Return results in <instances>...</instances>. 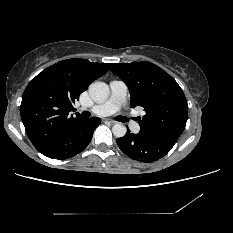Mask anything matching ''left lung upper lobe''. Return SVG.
Returning a JSON list of instances; mask_svg holds the SVG:
<instances>
[{"label": "left lung upper lobe", "instance_id": "obj_1", "mask_svg": "<svg viewBox=\"0 0 233 233\" xmlns=\"http://www.w3.org/2000/svg\"><path fill=\"white\" fill-rule=\"evenodd\" d=\"M110 70L128 86L132 107L146 112L138 119L140 133L176 143L184 131L188 104L178 83L150 62L111 63Z\"/></svg>", "mask_w": 233, "mask_h": 233}]
</instances>
